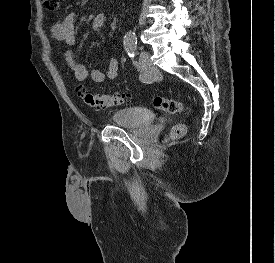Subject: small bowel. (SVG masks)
<instances>
[{"label":"small bowel","mask_w":275,"mask_h":263,"mask_svg":"<svg viewBox=\"0 0 275 263\" xmlns=\"http://www.w3.org/2000/svg\"><path fill=\"white\" fill-rule=\"evenodd\" d=\"M75 19V13H69L62 20L55 22L51 27L53 37L58 41H63L68 45H73L76 41ZM106 23L107 16L99 13L92 17L91 28L93 31L98 32L105 27ZM63 59L70 68L74 78L80 82L92 80L99 83L104 80H113L118 76L119 64L115 58H109L107 60L105 70L87 68L85 65L75 60L71 51L64 52Z\"/></svg>","instance_id":"small-bowel-1"}]
</instances>
